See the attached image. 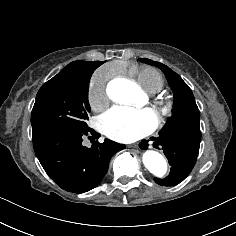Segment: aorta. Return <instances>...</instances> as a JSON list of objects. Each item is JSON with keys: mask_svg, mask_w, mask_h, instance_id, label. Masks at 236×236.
I'll use <instances>...</instances> for the list:
<instances>
[{"mask_svg": "<svg viewBox=\"0 0 236 236\" xmlns=\"http://www.w3.org/2000/svg\"><path fill=\"white\" fill-rule=\"evenodd\" d=\"M110 98L122 103L132 102L135 98L136 85L126 79H122L109 85ZM143 164L150 173L156 177L162 178L167 173V162L164 157L157 151L146 150L143 153Z\"/></svg>", "mask_w": 236, "mask_h": 236, "instance_id": "aorta-1", "label": "aorta"}]
</instances>
